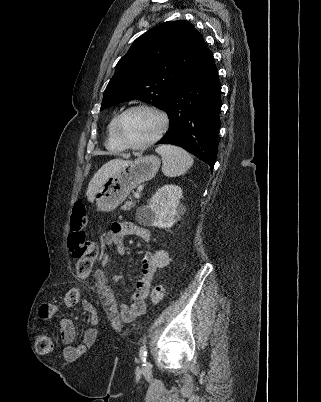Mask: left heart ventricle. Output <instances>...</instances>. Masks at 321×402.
I'll list each match as a JSON object with an SVG mask.
<instances>
[{"mask_svg":"<svg viewBox=\"0 0 321 402\" xmlns=\"http://www.w3.org/2000/svg\"><path fill=\"white\" fill-rule=\"evenodd\" d=\"M161 126L160 118L147 110L126 114L121 123V134L131 144H141L153 138Z\"/></svg>","mask_w":321,"mask_h":402,"instance_id":"1","label":"left heart ventricle"}]
</instances>
